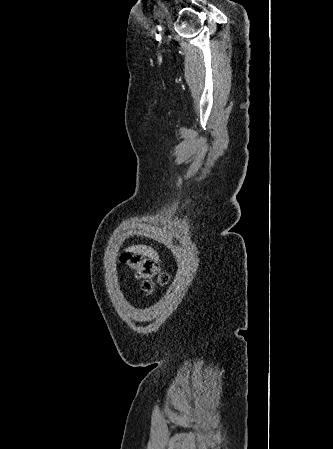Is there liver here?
<instances>
[{"instance_id": "6515ba94", "label": "liver", "mask_w": 333, "mask_h": 449, "mask_svg": "<svg viewBox=\"0 0 333 449\" xmlns=\"http://www.w3.org/2000/svg\"><path fill=\"white\" fill-rule=\"evenodd\" d=\"M127 251L135 252V253H141L144 256L148 257H156L158 258V254L151 248H147L146 246H131L127 249Z\"/></svg>"}]
</instances>
